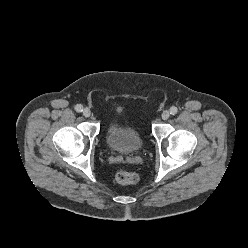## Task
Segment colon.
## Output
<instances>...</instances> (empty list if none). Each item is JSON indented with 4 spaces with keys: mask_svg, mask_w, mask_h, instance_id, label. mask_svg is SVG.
Returning <instances> with one entry per match:
<instances>
[{
    "mask_svg": "<svg viewBox=\"0 0 248 248\" xmlns=\"http://www.w3.org/2000/svg\"><path fill=\"white\" fill-rule=\"evenodd\" d=\"M116 180L122 185H135L139 182V175L133 171H120L116 174Z\"/></svg>",
    "mask_w": 248,
    "mask_h": 248,
    "instance_id": "1",
    "label": "colon"
}]
</instances>
